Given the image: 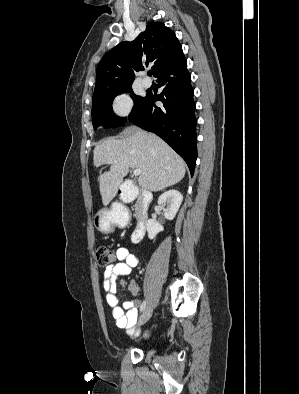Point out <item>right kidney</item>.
Here are the masks:
<instances>
[{
    "mask_svg": "<svg viewBox=\"0 0 299 394\" xmlns=\"http://www.w3.org/2000/svg\"><path fill=\"white\" fill-rule=\"evenodd\" d=\"M182 201V194L174 189L164 192L158 198L159 205H167V207L164 209V217L167 220H173L175 218ZM146 229L148 232V238L150 240L154 239L159 232L164 230L163 226L154 219H149L147 221Z\"/></svg>",
    "mask_w": 299,
    "mask_h": 394,
    "instance_id": "right-kidney-1",
    "label": "right kidney"
}]
</instances>
